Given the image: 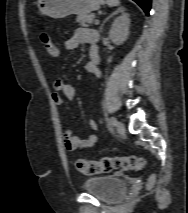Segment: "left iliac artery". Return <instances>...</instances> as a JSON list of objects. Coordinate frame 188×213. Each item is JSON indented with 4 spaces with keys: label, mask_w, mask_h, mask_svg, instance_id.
I'll use <instances>...</instances> for the list:
<instances>
[{
    "label": "left iliac artery",
    "mask_w": 188,
    "mask_h": 213,
    "mask_svg": "<svg viewBox=\"0 0 188 213\" xmlns=\"http://www.w3.org/2000/svg\"><path fill=\"white\" fill-rule=\"evenodd\" d=\"M116 122H117V121H116V118H115V117H110L109 123H110L111 126H115Z\"/></svg>",
    "instance_id": "obj_1"
}]
</instances>
